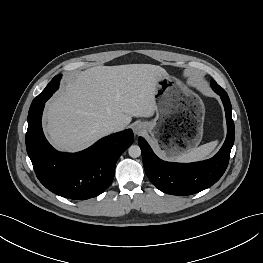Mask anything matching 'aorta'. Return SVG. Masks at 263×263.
<instances>
[{"mask_svg": "<svg viewBox=\"0 0 263 263\" xmlns=\"http://www.w3.org/2000/svg\"><path fill=\"white\" fill-rule=\"evenodd\" d=\"M129 156L137 158L141 155V149L138 145H131L128 149Z\"/></svg>", "mask_w": 263, "mask_h": 263, "instance_id": "aorta-1", "label": "aorta"}]
</instances>
